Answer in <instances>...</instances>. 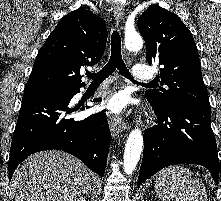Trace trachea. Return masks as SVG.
<instances>
[{
  "mask_svg": "<svg viewBox=\"0 0 221 201\" xmlns=\"http://www.w3.org/2000/svg\"><path fill=\"white\" fill-rule=\"evenodd\" d=\"M116 69L126 78L136 81L131 78V74L127 69L121 54V38L117 30H114L111 35V56L108 63L97 73H87V77L92 79V83H101L109 77ZM152 85V83H149Z\"/></svg>",
  "mask_w": 221,
  "mask_h": 201,
  "instance_id": "1",
  "label": "trachea"
}]
</instances>
